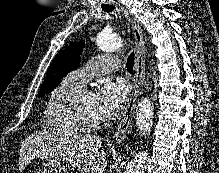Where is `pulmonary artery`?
<instances>
[{
    "mask_svg": "<svg viewBox=\"0 0 219 173\" xmlns=\"http://www.w3.org/2000/svg\"><path fill=\"white\" fill-rule=\"evenodd\" d=\"M119 64L120 60L118 57L97 55L86 62L84 66L70 72L67 79L70 82L83 87L91 77L116 70L118 69Z\"/></svg>",
    "mask_w": 219,
    "mask_h": 173,
    "instance_id": "obj_1",
    "label": "pulmonary artery"
}]
</instances>
